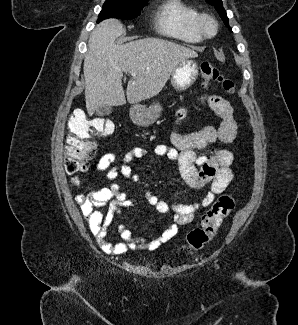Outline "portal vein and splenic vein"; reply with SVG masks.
Segmentation results:
<instances>
[{
	"label": "portal vein and splenic vein",
	"instance_id": "1",
	"mask_svg": "<svg viewBox=\"0 0 298 325\" xmlns=\"http://www.w3.org/2000/svg\"><path fill=\"white\" fill-rule=\"evenodd\" d=\"M132 76H137V74H135V72H131Z\"/></svg>",
	"mask_w": 298,
	"mask_h": 325
}]
</instances>
